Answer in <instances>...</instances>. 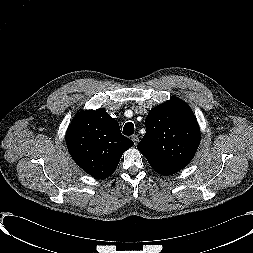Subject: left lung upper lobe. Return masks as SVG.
Instances as JSON below:
<instances>
[{"instance_id": "obj_1", "label": "left lung upper lobe", "mask_w": 253, "mask_h": 253, "mask_svg": "<svg viewBox=\"0 0 253 253\" xmlns=\"http://www.w3.org/2000/svg\"><path fill=\"white\" fill-rule=\"evenodd\" d=\"M146 134L137 149L161 175H171L189 164L200 142V130L191 108L172 98L153 108L145 120Z\"/></svg>"}]
</instances>
